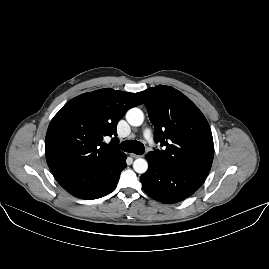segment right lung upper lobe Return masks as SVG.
Listing matches in <instances>:
<instances>
[{
  "mask_svg": "<svg viewBox=\"0 0 269 269\" xmlns=\"http://www.w3.org/2000/svg\"><path fill=\"white\" fill-rule=\"evenodd\" d=\"M141 104L136 94L100 89L81 94L54 116L46 138V161L54 173L62 169L97 165L122 151L105 144V136H117V123L128 109ZM117 138H113V140Z\"/></svg>",
  "mask_w": 269,
  "mask_h": 269,
  "instance_id": "cb5924a9",
  "label": "right lung upper lobe"
}]
</instances>
